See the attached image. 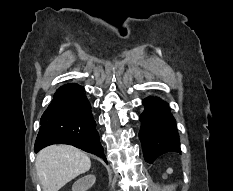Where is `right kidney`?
<instances>
[{
  "instance_id": "ca27d5eb",
  "label": "right kidney",
  "mask_w": 233,
  "mask_h": 191,
  "mask_svg": "<svg viewBox=\"0 0 233 191\" xmlns=\"http://www.w3.org/2000/svg\"><path fill=\"white\" fill-rule=\"evenodd\" d=\"M95 181L96 177L93 174L86 175L73 184L72 191H87Z\"/></svg>"
}]
</instances>
